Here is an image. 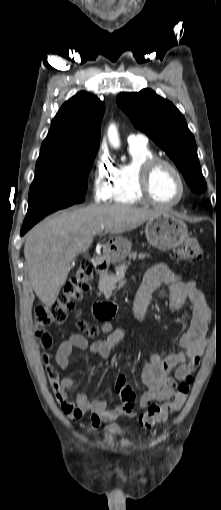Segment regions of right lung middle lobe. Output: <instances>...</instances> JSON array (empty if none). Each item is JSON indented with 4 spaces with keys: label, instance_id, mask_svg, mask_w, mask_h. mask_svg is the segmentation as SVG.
I'll return each instance as SVG.
<instances>
[{
    "label": "right lung middle lobe",
    "instance_id": "1",
    "mask_svg": "<svg viewBox=\"0 0 221 510\" xmlns=\"http://www.w3.org/2000/svg\"><path fill=\"white\" fill-rule=\"evenodd\" d=\"M98 147L38 159L29 205L58 210L85 199L87 179Z\"/></svg>",
    "mask_w": 221,
    "mask_h": 510
}]
</instances>
